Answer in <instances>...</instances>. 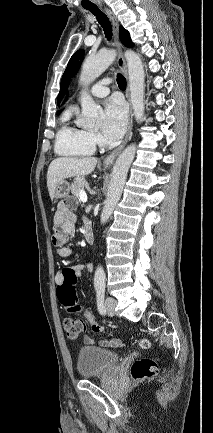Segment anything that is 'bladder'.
<instances>
[{"mask_svg": "<svg viewBox=\"0 0 213 433\" xmlns=\"http://www.w3.org/2000/svg\"><path fill=\"white\" fill-rule=\"evenodd\" d=\"M121 360L119 353L96 346H83L78 351L77 371L82 378L109 373Z\"/></svg>", "mask_w": 213, "mask_h": 433, "instance_id": "31cf9c89", "label": "bladder"}]
</instances>
